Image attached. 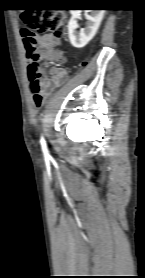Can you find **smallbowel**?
<instances>
[{
	"label": "small bowel",
	"instance_id": "c3829d8e",
	"mask_svg": "<svg viewBox=\"0 0 145 278\" xmlns=\"http://www.w3.org/2000/svg\"><path fill=\"white\" fill-rule=\"evenodd\" d=\"M39 44H54L56 47L60 46L61 40L51 34H44L37 37ZM39 72L43 75L39 83L42 89V92L45 95H50L53 90L61 86L68 79V74L65 68L62 67H51L44 68L38 66ZM51 81H56L55 84H50Z\"/></svg>",
	"mask_w": 145,
	"mask_h": 278
}]
</instances>
